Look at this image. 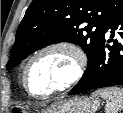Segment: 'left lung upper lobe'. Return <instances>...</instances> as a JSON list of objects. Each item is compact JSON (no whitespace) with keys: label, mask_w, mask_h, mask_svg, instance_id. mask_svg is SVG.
<instances>
[{"label":"left lung upper lobe","mask_w":123,"mask_h":113,"mask_svg":"<svg viewBox=\"0 0 123 113\" xmlns=\"http://www.w3.org/2000/svg\"><path fill=\"white\" fill-rule=\"evenodd\" d=\"M111 0H33L21 21L7 69L34 51L59 42H71L92 56L104 38Z\"/></svg>","instance_id":"5c2ea615"}]
</instances>
